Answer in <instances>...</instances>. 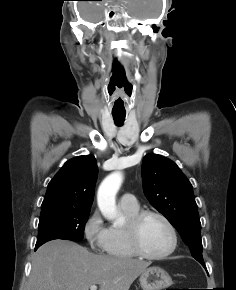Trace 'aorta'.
Segmentation results:
<instances>
[{"mask_svg": "<svg viewBox=\"0 0 236 290\" xmlns=\"http://www.w3.org/2000/svg\"><path fill=\"white\" fill-rule=\"evenodd\" d=\"M122 183V175L115 172L106 177L99 186L97 193L98 207L105 218L113 221L114 226L123 225V218L116 208V194Z\"/></svg>", "mask_w": 236, "mask_h": 290, "instance_id": "aorta-1", "label": "aorta"}]
</instances>
